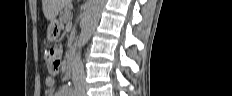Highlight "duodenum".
Segmentation results:
<instances>
[{"label":"duodenum","instance_id":"obj_1","mask_svg":"<svg viewBox=\"0 0 232 96\" xmlns=\"http://www.w3.org/2000/svg\"><path fill=\"white\" fill-rule=\"evenodd\" d=\"M75 56H76V49L72 48L69 51L68 59H67V62H66L65 68H64V76H65V78H68L69 76H71V74L73 72Z\"/></svg>","mask_w":232,"mask_h":96}]
</instances>
